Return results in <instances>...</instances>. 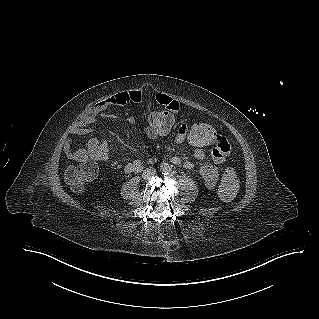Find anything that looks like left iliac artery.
I'll use <instances>...</instances> for the list:
<instances>
[{"label":"left iliac artery","instance_id":"left-iliac-artery-1","mask_svg":"<svg viewBox=\"0 0 319 319\" xmlns=\"http://www.w3.org/2000/svg\"><path fill=\"white\" fill-rule=\"evenodd\" d=\"M169 173H170V169L167 170L164 174H165V175H168Z\"/></svg>","mask_w":319,"mask_h":319}]
</instances>
